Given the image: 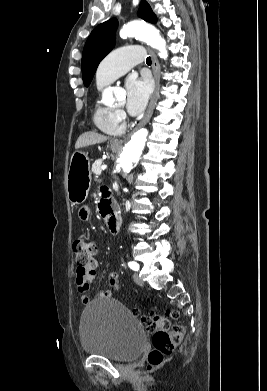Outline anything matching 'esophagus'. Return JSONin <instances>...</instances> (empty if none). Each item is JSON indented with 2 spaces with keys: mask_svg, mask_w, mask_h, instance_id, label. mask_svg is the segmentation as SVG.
Listing matches in <instances>:
<instances>
[{
  "mask_svg": "<svg viewBox=\"0 0 267 391\" xmlns=\"http://www.w3.org/2000/svg\"><path fill=\"white\" fill-rule=\"evenodd\" d=\"M151 55H152V69H153V74H154V79H155V91L151 97L147 112H146L144 118L142 119V121L137 125L136 129L144 126L150 120L152 113H153V109H154L156 94H157V91L160 86V64H159V61L153 51H151ZM125 141H126V139L115 140L113 142V144L115 146H122Z\"/></svg>",
  "mask_w": 267,
  "mask_h": 391,
  "instance_id": "esophagus-1",
  "label": "esophagus"
}]
</instances>
